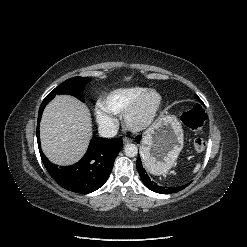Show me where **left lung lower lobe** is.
Returning <instances> with one entry per match:
<instances>
[{
    "label": "left lung lower lobe",
    "instance_id": "left-lung-lower-lobe-1",
    "mask_svg": "<svg viewBox=\"0 0 247 247\" xmlns=\"http://www.w3.org/2000/svg\"><path fill=\"white\" fill-rule=\"evenodd\" d=\"M136 167L138 170V173L140 174V177L143 181V183L145 184V186L156 192V193H161V194H171V193H176L178 191H181L182 189H184L186 186H188V184L183 185V186H179V187H163V186H159L157 183H155L153 180L150 179V177L148 176L146 170L143 168L142 162H141V158L138 156L137 161H136Z\"/></svg>",
    "mask_w": 247,
    "mask_h": 247
}]
</instances>
